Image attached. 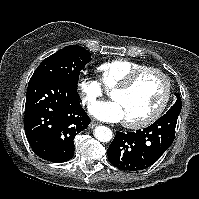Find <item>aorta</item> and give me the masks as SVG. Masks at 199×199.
Segmentation results:
<instances>
[{"label": "aorta", "mask_w": 199, "mask_h": 199, "mask_svg": "<svg viewBox=\"0 0 199 199\" xmlns=\"http://www.w3.org/2000/svg\"><path fill=\"white\" fill-rule=\"evenodd\" d=\"M95 138L101 142H109L112 139V131L105 126H98L94 130Z\"/></svg>", "instance_id": "aorta-1"}]
</instances>
